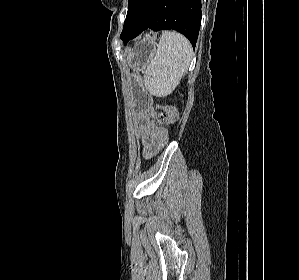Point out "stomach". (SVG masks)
<instances>
[{"label": "stomach", "instance_id": "1", "mask_svg": "<svg viewBox=\"0 0 299 280\" xmlns=\"http://www.w3.org/2000/svg\"><path fill=\"white\" fill-rule=\"evenodd\" d=\"M155 52L156 45L152 40L147 38L140 40L128 52L127 60L130 67L136 72L145 70L153 59ZM132 99L136 104L137 112H140L149 100V97L143 90L138 77H135L134 79Z\"/></svg>", "mask_w": 299, "mask_h": 280}]
</instances>
